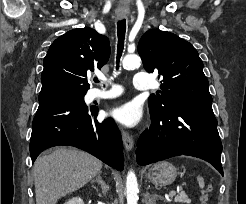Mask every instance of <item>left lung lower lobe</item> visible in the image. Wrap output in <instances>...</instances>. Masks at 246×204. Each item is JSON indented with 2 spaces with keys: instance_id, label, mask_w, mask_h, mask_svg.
I'll list each match as a JSON object with an SVG mask.
<instances>
[{
  "instance_id": "left-lung-lower-lobe-1",
  "label": "left lung lower lobe",
  "mask_w": 246,
  "mask_h": 204,
  "mask_svg": "<svg viewBox=\"0 0 246 204\" xmlns=\"http://www.w3.org/2000/svg\"><path fill=\"white\" fill-rule=\"evenodd\" d=\"M138 140L136 158L147 165L178 155L211 163L222 175V143L211 103H176L158 115Z\"/></svg>"
}]
</instances>
